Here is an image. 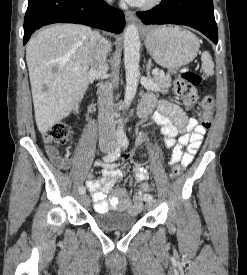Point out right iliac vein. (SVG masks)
Wrapping results in <instances>:
<instances>
[{"label": "right iliac vein", "mask_w": 247, "mask_h": 275, "mask_svg": "<svg viewBox=\"0 0 247 275\" xmlns=\"http://www.w3.org/2000/svg\"><path fill=\"white\" fill-rule=\"evenodd\" d=\"M102 150H103L104 152H109V151H110V148L107 147V146H105V147H103ZM80 199H81V203H82L84 206H88V205H89L90 199H89V197H88L86 194H83V195L80 197Z\"/></svg>", "instance_id": "63e3f726"}]
</instances>
